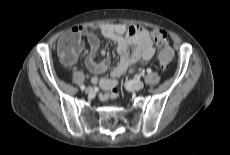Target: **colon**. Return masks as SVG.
<instances>
[{
	"instance_id": "5ec220e1",
	"label": "colon",
	"mask_w": 230,
	"mask_h": 155,
	"mask_svg": "<svg viewBox=\"0 0 230 155\" xmlns=\"http://www.w3.org/2000/svg\"><path fill=\"white\" fill-rule=\"evenodd\" d=\"M154 41L162 47L160 52V66L165 68L173 57V50L168 46L167 34L163 30H154L152 32ZM80 44V39L76 35H69L63 39L58 46V54L60 58L66 62L71 63L75 60L76 49ZM119 96L118 88L114 87L106 93H102L100 98L103 100L106 99H115Z\"/></svg>"
}]
</instances>
